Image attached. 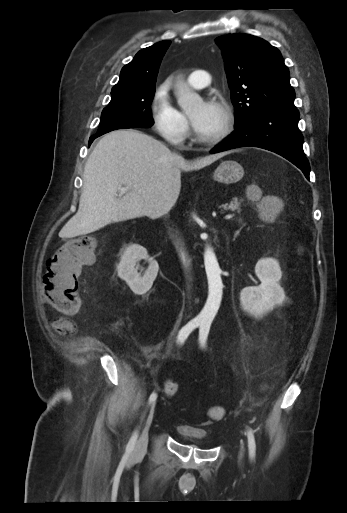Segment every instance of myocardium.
Masks as SVG:
<instances>
[{
    "label": "myocardium",
    "instance_id": "obj_1",
    "mask_svg": "<svg viewBox=\"0 0 347 513\" xmlns=\"http://www.w3.org/2000/svg\"><path fill=\"white\" fill-rule=\"evenodd\" d=\"M214 104L219 106L223 112V117H224L223 127L218 134H216L215 136H213L211 138H204V137L200 136L198 134L197 130L194 129V136H195L196 140L203 145H208V146L215 145V144L219 143L220 141H222L225 137H227L233 130L234 119H233V115H232L228 105L222 101L214 102Z\"/></svg>",
    "mask_w": 347,
    "mask_h": 513
}]
</instances>
